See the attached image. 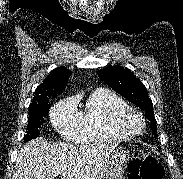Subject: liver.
Returning <instances> with one entry per match:
<instances>
[{"label":"liver","instance_id":"6515ba94","mask_svg":"<svg viewBox=\"0 0 183 179\" xmlns=\"http://www.w3.org/2000/svg\"><path fill=\"white\" fill-rule=\"evenodd\" d=\"M117 144H50L36 138L20 150L12 179H96Z\"/></svg>","mask_w":183,"mask_h":179}]
</instances>
